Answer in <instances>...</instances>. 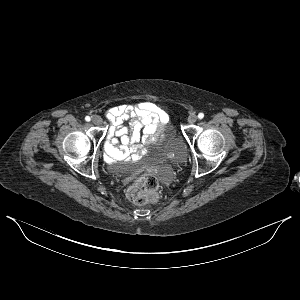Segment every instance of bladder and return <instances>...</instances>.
<instances>
[{
    "label": "bladder",
    "mask_w": 300,
    "mask_h": 300,
    "mask_svg": "<svg viewBox=\"0 0 300 300\" xmlns=\"http://www.w3.org/2000/svg\"><path fill=\"white\" fill-rule=\"evenodd\" d=\"M174 140H175V136L173 134V131L171 130L166 135V137L161 141V144H165V147L162 151L161 162H169V163L179 164V157H178L177 153L175 152L174 146H173ZM132 167L133 166H126V165L119 164V163H110L108 165V168L111 171H115V172L127 171V170L131 169Z\"/></svg>",
    "instance_id": "31cf9c89"
}]
</instances>
